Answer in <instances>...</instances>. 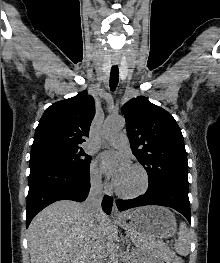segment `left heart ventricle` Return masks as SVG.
<instances>
[{
	"instance_id": "b2bd125f",
	"label": "left heart ventricle",
	"mask_w": 220,
	"mask_h": 263,
	"mask_svg": "<svg viewBox=\"0 0 220 263\" xmlns=\"http://www.w3.org/2000/svg\"><path fill=\"white\" fill-rule=\"evenodd\" d=\"M142 184L143 178L141 173L131 167L126 175L117 184V187L125 192H134L139 190L142 187Z\"/></svg>"
}]
</instances>
